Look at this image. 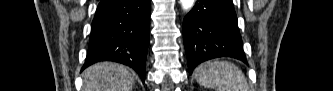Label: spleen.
<instances>
[{
  "label": "spleen",
  "instance_id": "3e777b00",
  "mask_svg": "<svg viewBox=\"0 0 333 91\" xmlns=\"http://www.w3.org/2000/svg\"><path fill=\"white\" fill-rule=\"evenodd\" d=\"M196 81L215 91H249L243 72L228 61H213L199 65L194 71Z\"/></svg>",
  "mask_w": 333,
  "mask_h": 91
}]
</instances>
